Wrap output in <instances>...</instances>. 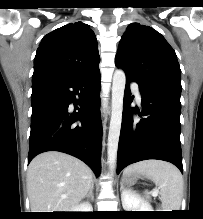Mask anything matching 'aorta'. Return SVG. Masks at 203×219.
Listing matches in <instances>:
<instances>
[{
  "instance_id": "1",
  "label": "aorta",
  "mask_w": 203,
  "mask_h": 219,
  "mask_svg": "<svg viewBox=\"0 0 203 219\" xmlns=\"http://www.w3.org/2000/svg\"><path fill=\"white\" fill-rule=\"evenodd\" d=\"M126 84V76L123 70L117 69L113 75L112 83V113L108 134V164L111 175L115 170V163L117 158L118 143L120 137L122 112H123V98Z\"/></svg>"
}]
</instances>
